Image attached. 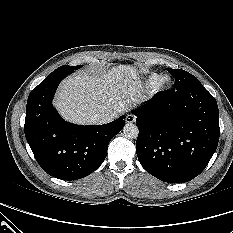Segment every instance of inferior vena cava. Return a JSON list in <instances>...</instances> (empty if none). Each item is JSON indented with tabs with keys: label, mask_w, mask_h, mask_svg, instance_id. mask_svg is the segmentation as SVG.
<instances>
[{
	"label": "inferior vena cava",
	"mask_w": 233,
	"mask_h": 233,
	"mask_svg": "<svg viewBox=\"0 0 233 233\" xmlns=\"http://www.w3.org/2000/svg\"><path fill=\"white\" fill-rule=\"evenodd\" d=\"M94 124H105L113 120V117L109 114H95L91 118Z\"/></svg>",
	"instance_id": "602c4592"
}]
</instances>
